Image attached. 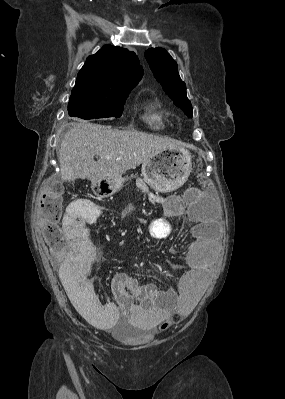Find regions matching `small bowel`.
Wrapping results in <instances>:
<instances>
[{"mask_svg":"<svg viewBox=\"0 0 285 399\" xmlns=\"http://www.w3.org/2000/svg\"><path fill=\"white\" fill-rule=\"evenodd\" d=\"M142 189L141 185H138ZM151 203L162 206L163 215L149 223L148 232L153 238L165 239L171 236L169 219L172 217H192L193 208L185 205L176 196L162 201L156 194H148ZM80 211L84 219H77ZM123 213L132 216L130 202ZM98 208L84 199L72 201L66 208L63 227L67 247L72 252L65 259H58V275L62 286L74 308L90 323L99 329L111 330L122 321L131 322L148 331L166 329L175 319L183 320L194 310L200 298L209 273L205 261V238L199 230L192 237L184 255L186 269L178 277L176 289H159L154 284H140L131 274L114 278L111 285L113 299L102 303L95 293L88 275L94 258L88 241L89 225L99 219Z\"/></svg>","mask_w":285,"mask_h":399,"instance_id":"obj_1","label":"small bowel"}]
</instances>
